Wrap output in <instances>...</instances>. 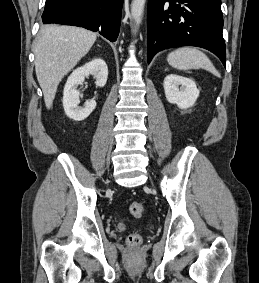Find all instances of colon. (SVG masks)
Listing matches in <instances>:
<instances>
[{
  "label": "colon",
  "instance_id": "1",
  "mask_svg": "<svg viewBox=\"0 0 259 283\" xmlns=\"http://www.w3.org/2000/svg\"><path fill=\"white\" fill-rule=\"evenodd\" d=\"M145 208L141 202H133L130 205V212L133 216L139 218L144 214ZM142 238L138 233H131L127 237V243L130 246H138L141 244Z\"/></svg>",
  "mask_w": 259,
  "mask_h": 283
}]
</instances>
